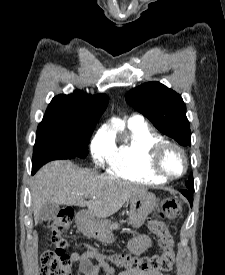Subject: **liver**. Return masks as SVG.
Here are the masks:
<instances>
[{
  "instance_id": "1",
  "label": "liver",
  "mask_w": 225,
  "mask_h": 275,
  "mask_svg": "<svg viewBox=\"0 0 225 275\" xmlns=\"http://www.w3.org/2000/svg\"><path fill=\"white\" fill-rule=\"evenodd\" d=\"M147 190L114 176L98 175L82 169L67 160L53 161L43 166L35 175L32 188V209L35 224L39 211L46 202L58 205L87 206L91 217L107 218L132 196ZM89 198L88 201L85 199Z\"/></svg>"
}]
</instances>
